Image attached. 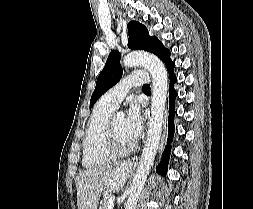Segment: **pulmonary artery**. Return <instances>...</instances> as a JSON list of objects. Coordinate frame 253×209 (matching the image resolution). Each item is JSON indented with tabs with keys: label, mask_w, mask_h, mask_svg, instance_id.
I'll list each match as a JSON object with an SVG mask.
<instances>
[{
	"label": "pulmonary artery",
	"mask_w": 253,
	"mask_h": 209,
	"mask_svg": "<svg viewBox=\"0 0 253 209\" xmlns=\"http://www.w3.org/2000/svg\"><path fill=\"white\" fill-rule=\"evenodd\" d=\"M149 75L144 71H133L124 79H122L117 85L107 91L101 98V100L113 107H118L122 99L126 96L131 88L139 87L148 82Z\"/></svg>",
	"instance_id": "obj_1"
}]
</instances>
